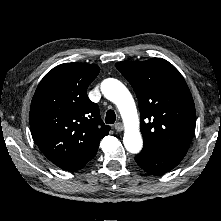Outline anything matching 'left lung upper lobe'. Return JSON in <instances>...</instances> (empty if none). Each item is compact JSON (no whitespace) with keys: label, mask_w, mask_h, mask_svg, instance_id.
<instances>
[{"label":"left lung upper lobe","mask_w":221,"mask_h":221,"mask_svg":"<svg viewBox=\"0 0 221 221\" xmlns=\"http://www.w3.org/2000/svg\"><path fill=\"white\" fill-rule=\"evenodd\" d=\"M115 66L138 98L144 146L184 157L193 138L196 113L179 71L161 58L122 61Z\"/></svg>","instance_id":"1"}]
</instances>
